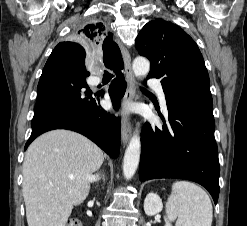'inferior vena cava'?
Here are the masks:
<instances>
[{
  "instance_id": "1",
  "label": "inferior vena cava",
  "mask_w": 247,
  "mask_h": 226,
  "mask_svg": "<svg viewBox=\"0 0 247 226\" xmlns=\"http://www.w3.org/2000/svg\"><path fill=\"white\" fill-rule=\"evenodd\" d=\"M98 178V175L92 177V181H96Z\"/></svg>"
}]
</instances>
